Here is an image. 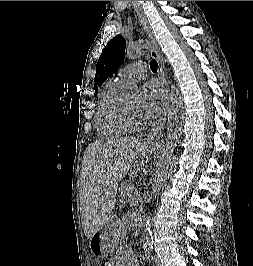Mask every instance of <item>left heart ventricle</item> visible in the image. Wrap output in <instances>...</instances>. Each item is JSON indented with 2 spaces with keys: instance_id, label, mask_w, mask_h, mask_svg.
Here are the masks:
<instances>
[{
  "instance_id": "1",
  "label": "left heart ventricle",
  "mask_w": 253,
  "mask_h": 266,
  "mask_svg": "<svg viewBox=\"0 0 253 266\" xmlns=\"http://www.w3.org/2000/svg\"><path fill=\"white\" fill-rule=\"evenodd\" d=\"M127 105L132 114L137 117L141 116L139 108V96L136 93H129L127 95Z\"/></svg>"
}]
</instances>
